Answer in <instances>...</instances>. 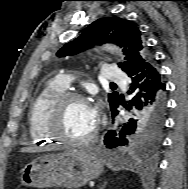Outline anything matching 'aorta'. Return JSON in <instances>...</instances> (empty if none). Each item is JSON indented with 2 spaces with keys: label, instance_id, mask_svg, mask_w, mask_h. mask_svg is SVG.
Returning <instances> with one entry per match:
<instances>
[{
  "label": "aorta",
  "instance_id": "obj_1",
  "mask_svg": "<svg viewBox=\"0 0 188 189\" xmlns=\"http://www.w3.org/2000/svg\"><path fill=\"white\" fill-rule=\"evenodd\" d=\"M105 48L109 50H118L115 46H111V45H106Z\"/></svg>",
  "mask_w": 188,
  "mask_h": 189
}]
</instances>
